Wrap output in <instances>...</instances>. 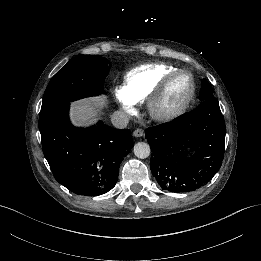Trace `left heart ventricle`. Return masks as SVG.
Listing matches in <instances>:
<instances>
[{
    "label": "left heart ventricle",
    "mask_w": 261,
    "mask_h": 261,
    "mask_svg": "<svg viewBox=\"0 0 261 261\" xmlns=\"http://www.w3.org/2000/svg\"><path fill=\"white\" fill-rule=\"evenodd\" d=\"M190 86L187 79L183 76L178 77L168 94L165 101V106L168 108L179 105L189 94Z\"/></svg>",
    "instance_id": "1"
}]
</instances>
